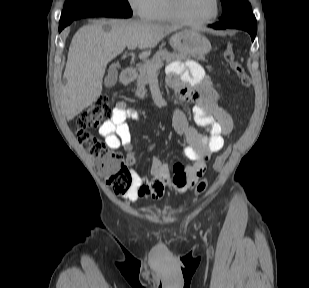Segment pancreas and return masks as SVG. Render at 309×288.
I'll return each mask as SVG.
<instances>
[{
  "label": "pancreas",
  "mask_w": 309,
  "mask_h": 288,
  "mask_svg": "<svg viewBox=\"0 0 309 288\" xmlns=\"http://www.w3.org/2000/svg\"><path fill=\"white\" fill-rule=\"evenodd\" d=\"M182 54L170 53L166 49H161L155 53L151 60H148L144 64L138 66L139 76L137 78V89L135 94L139 98H144L146 95L145 85L149 83L150 69L156 68L157 65L163 64V62L171 63L173 61H185L189 59ZM197 60L205 61L204 58H197Z\"/></svg>",
  "instance_id": "cf45deb5"
}]
</instances>
